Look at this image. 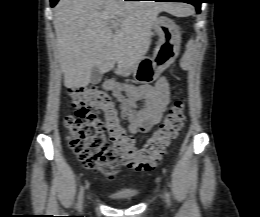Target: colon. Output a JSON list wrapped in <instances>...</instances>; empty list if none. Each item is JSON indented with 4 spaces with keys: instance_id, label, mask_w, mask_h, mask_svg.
I'll return each mask as SVG.
<instances>
[{
    "instance_id": "obj_1",
    "label": "colon",
    "mask_w": 260,
    "mask_h": 217,
    "mask_svg": "<svg viewBox=\"0 0 260 217\" xmlns=\"http://www.w3.org/2000/svg\"><path fill=\"white\" fill-rule=\"evenodd\" d=\"M70 97L76 112L64 120L68 146L85 168L95 170L108 179L115 177L120 165L138 171L154 169L185 121L184 101L180 99L144 146L138 149L132 136L122 126L115 104L107 92L79 88L71 90ZM99 111L103 113V122L96 119L95 113Z\"/></svg>"
}]
</instances>
